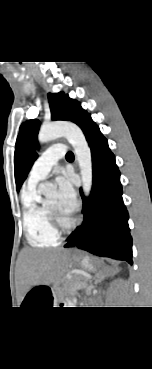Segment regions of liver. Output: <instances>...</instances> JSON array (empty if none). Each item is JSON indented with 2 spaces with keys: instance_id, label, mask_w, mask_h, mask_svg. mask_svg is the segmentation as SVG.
I'll list each match as a JSON object with an SVG mask.
<instances>
[{
  "instance_id": "1",
  "label": "liver",
  "mask_w": 152,
  "mask_h": 369,
  "mask_svg": "<svg viewBox=\"0 0 152 369\" xmlns=\"http://www.w3.org/2000/svg\"><path fill=\"white\" fill-rule=\"evenodd\" d=\"M68 253L64 250L25 248L19 255V277L25 287L50 283L62 276Z\"/></svg>"
}]
</instances>
